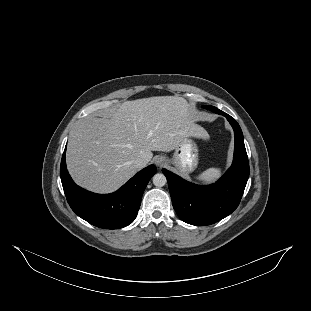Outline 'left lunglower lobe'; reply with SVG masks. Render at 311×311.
Instances as JSON below:
<instances>
[{"instance_id": "left-lung-lower-lobe-1", "label": "left lung lower lobe", "mask_w": 311, "mask_h": 311, "mask_svg": "<svg viewBox=\"0 0 311 311\" xmlns=\"http://www.w3.org/2000/svg\"><path fill=\"white\" fill-rule=\"evenodd\" d=\"M234 130V159L229 170L214 184L199 186L162 169L167 178L173 207L178 216L192 225H210L229 214L239 205L248 177L249 162L243 133L234 118L221 111Z\"/></svg>"}]
</instances>
